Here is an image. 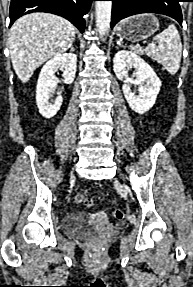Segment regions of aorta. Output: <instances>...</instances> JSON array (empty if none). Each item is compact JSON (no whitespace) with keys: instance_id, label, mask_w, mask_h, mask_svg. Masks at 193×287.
Here are the masks:
<instances>
[{"instance_id":"762f6f07","label":"aorta","mask_w":193,"mask_h":287,"mask_svg":"<svg viewBox=\"0 0 193 287\" xmlns=\"http://www.w3.org/2000/svg\"><path fill=\"white\" fill-rule=\"evenodd\" d=\"M112 1H96V26L101 37L108 34L111 21Z\"/></svg>"}]
</instances>
